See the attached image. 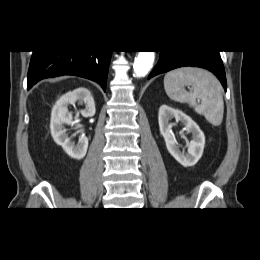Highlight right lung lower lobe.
<instances>
[{"instance_id": "1", "label": "right lung lower lobe", "mask_w": 260, "mask_h": 260, "mask_svg": "<svg viewBox=\"0 0 260 260\" xmlns=\"http://www.w3.org/2000/svg\"><path fill=\"white\" fill-rule=\"evenodd\" d=\"M111 53L112 51H33L27 89L45 78L75 75L93 80L106 90Z\"/></svg>"}]
</instances>
